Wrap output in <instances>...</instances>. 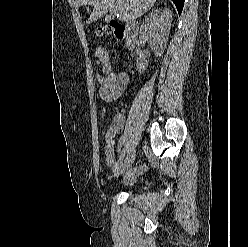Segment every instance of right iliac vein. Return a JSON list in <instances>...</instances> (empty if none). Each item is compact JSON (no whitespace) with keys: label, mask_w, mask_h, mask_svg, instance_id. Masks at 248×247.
<instances>
[{"label":"right iliac vein","mask_w":248,"mask_h":247,"mask_svg":"<svg viewBox=\"0 0 248 247\" xmlns=\"http://www.w3.org/2000/svg\"><path fill=\"white\" fill-rule=\"evenodd\" d=\"M134 160H135V149H132L125 158L124 166L121 171L122 174H125L130 169Z\"/></svg>","instance_id":"1"}]
</instances>
